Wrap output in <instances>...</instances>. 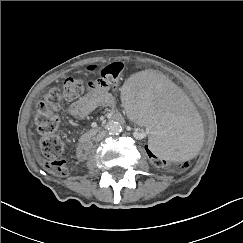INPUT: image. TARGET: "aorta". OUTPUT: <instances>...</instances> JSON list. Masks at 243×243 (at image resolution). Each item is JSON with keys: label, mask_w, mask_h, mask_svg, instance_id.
Returning a JSON list of instances; mask_svg holds the SVG:
<instances>
[{"label": "aorta", "mask_w": 243, "mask_h": 243, "mask_svg": "<svg viewBox=\"0 0 243 243\" xmlns=\"http://www.w3.org/2000/svg\"><path fill=\"white\" fill-rule=\"evenodd\" d=\"M108 133L119 134L122 131V125L117 121H110L106 127Z\"/></svg>", "instance_id": "aorta-1"}]
</instances>
